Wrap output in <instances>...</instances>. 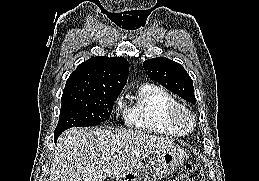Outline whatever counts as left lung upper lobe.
<instances>
[{
    "label": "left lung upper lobe",
    "instance_id": "left-lung-upper-lobe-1",
    "mask_svg": "<svg viewBox=\"0 0 259 181\" xmlns=\"http://www.w3.org/2000/svg\"><path fill=\"white\" fill-rule=\"evenodd\" d=\"M143 67L147 75L186 101L196 103L193 81L183 66L165 57L146 60Z\"/></svg>",
    "mask_w": 259,
    "mask_h": 181
}]
</instances>
